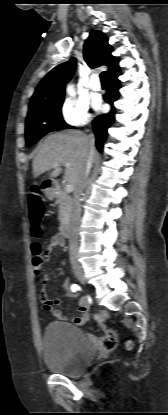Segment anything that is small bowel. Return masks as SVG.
<instances>
[{"label":"small bowel","mask_w":168,"mask_h":415,"mask_svg":"<svg viewBox=\"0 0 168 415\" xmlns=\"http://www.w3.org/2000/svg\"><path fill=\"white\" fill-rule=\"evenodd\" d=\"M63 245H64V238L61 235H53L50 238V241L45 248V253L49 255L54 250L61 248ZM62 292L64 296L76 297V294L72 293L67 279L63 280ZM41 301H42V307L44 311L51 312V314L58 320H61V321L67 320V318L62 313V311L54 308V306L60 303V299L50 300L47 298L45 291L42 290ZM78 311H79V315L73 317L71 319V322L75 325L81 326V325H84L89 318V305H88V301L86 298H81L79 300Z\"/></svg>","instance_id":"c3829d8e"}]
</instances>
